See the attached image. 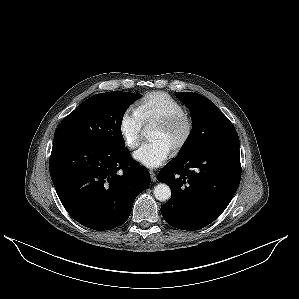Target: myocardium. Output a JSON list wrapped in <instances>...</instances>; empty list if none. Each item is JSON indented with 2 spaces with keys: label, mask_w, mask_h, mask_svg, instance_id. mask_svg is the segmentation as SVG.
<instances>
[{
  "label": "myocardium",
  "mask_w": 299,
  "mask_h": 299,
  "mask_svg": "<svg viewBox=\"0 0 299 299\" xmlns=\"http://www.w3.org/2000/svg\"><path fill=\"white\" fill-rule=\"evenodd\" d=\"M155 126L165 130H174L180 126L184 127V133L181 139L172 148V152L177 154L181 152L190 142L194 133L195 122L190 115L183 114L162 120L156 123Z\"/></svg>",
  "instance_id": "myocardium-1"
}]
</instances>
